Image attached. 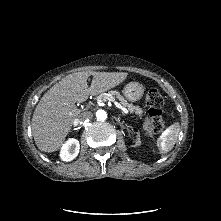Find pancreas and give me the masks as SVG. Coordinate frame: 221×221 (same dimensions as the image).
<instances>
[{
	"label": "pancreas",
	"instance_id": "cf45deb5",
	"mask_svg": "<svg viewBox=\"0 0 221 221\" xmlns=\"http://www.w3.org/2000/svg\"><path fill=\"white\" fill-rule=\"evenodd\" d=\"M111 96L113 98H117L119 100V103L123 106V107H127L129 109V111L131 113H134L136 115H139L140 117H142L143 115V111L142 109L140 108V106L136 105H132L130 103L127 102L126 99H124L121 94L115 90H112V91H109L108 93H102L98 96V98H101L103 99L105 96Z\"/></svg>",
	"mask_w": 221,
	"mask_h": 221
}]
</instances>
